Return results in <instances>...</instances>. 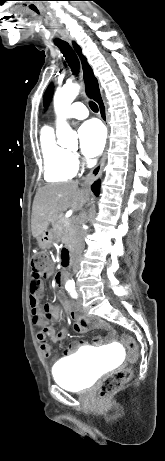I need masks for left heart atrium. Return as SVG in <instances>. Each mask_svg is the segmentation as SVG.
<instances>
[{"label": "left heart atrium", "instance_id": "1", "mask_svg": "<svg viewBox=\"0 0 165 461\" xmlns=\"http://www.w3.org/2000/svg\"><path fill=\"white\" fill-rule=\"evenodd\" d=\"M79 140L82 153L88 157H95L105 146V130L99 122L87 121L79 128Z\"/></svg>", "mask_w": 165, "mask_h": 461}]
</instances>
